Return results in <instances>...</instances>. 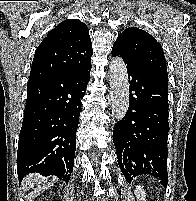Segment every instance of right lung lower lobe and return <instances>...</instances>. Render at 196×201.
<instances>
[{"label": "right lung lower lobe", "mask_w": 196, "mask_h": 201, "mask_svg": "<svg viewBox=\"0 0 196 201\" xmlns=\"http://www.w3.org/2000/svg\"><path fill=\"white\" fill-rule=\"evenodd\" d=\"M91 65L62 74L29 80L19 135V181L29 173L55 175L69 181L74 166L81 99Z\"/></svg>", "instance_id": "1"}]
</instances>
